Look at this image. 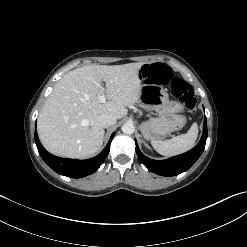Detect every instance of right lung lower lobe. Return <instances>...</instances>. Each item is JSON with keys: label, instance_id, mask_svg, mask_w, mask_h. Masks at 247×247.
Returning <instances> with one entry per match:
<instances>
[{"label": "right lung lower lobe", "instance_id": "98d812e1", "mask_svg": "<svg viewBox=\"0 0 247 247\" xmlns=\"http://www.w3.org/2000/svg\"><path fill=\"white\" fill-rule=\"evenodd\" d=\"M114 135L115 133L111 135L107 146L99 155L87 160L65 159L50 154L41 145L36 131L35 143L44 162L55 172L71 178H82L94 173L102 165L109 153L110 144Z\"/></svg>", "mask_w": 247, "mask_h": 247}]
</instances>
